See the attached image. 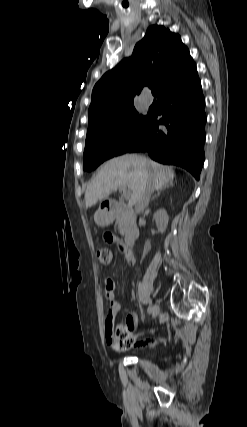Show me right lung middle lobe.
Wrapping results in <instances>:
<instances>
[{"label":"right lung middle lobe","mask_w":247,"mask_h":427,"mask_svg":"<svg viewBox=\"0 0 247 427\" xmlns=\"http://www.w3.org/2000/svg\"><path fill=\"white\" fill-rule=\"evenodd\" d=\"M149 121L150 114L139 115L132 106L115 119L88 129L83 155L84 171H92L105 160L126 153L142 139Z\"/></svg>","instance_id":"right-lung-middle-lobe-1"}]
</instances>
